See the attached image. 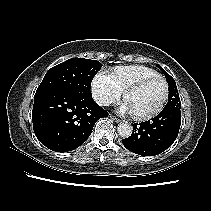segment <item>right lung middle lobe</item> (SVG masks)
<instances>
[{"label":"right lung middle lobe","mask_w":211,"mask_h":211,"mask_svg":"<svg viewBox=\"0 0 211 211\" xmlns=\"http://www.w3.org/2000/svg\"><path fill=\"white\" fill-rule=\"evenodd\" d=\"M102 64L97 60L72 58L52 67L44 76L36 94L69 91L91 94V82Z\"/></svg>","instance_id":"right-lung-middle-lobe-1"}]
</instances>
